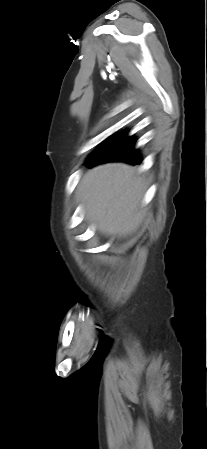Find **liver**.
<instances>
[{
  "mask_svg": "<svg viewBox=\"0 0 207 449\" xmlns=\"http://www.w3.org/2000/svg\"><path fill=\"white\" fill-rule=\"evenodd\" d=\"M145 192L146 182L136 167L107 163L84 174L76 197L100 232L120 238L132 234L142 222Z\"/></svg>",
  "mask_w": 207,
  "mask_h": 449,
  "instance_id": "obj_1",
  "label": "liver"
}]
</instances>
